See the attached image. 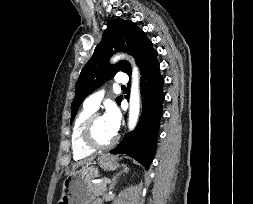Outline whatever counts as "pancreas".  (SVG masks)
<instances>
[{
	"label": "pancreas",
	"mask_w": 253,
	"mask_h": 204,
	"mask_svg": "<svg viewBox=\"0 0 253 204\" xmlns=\"http://www.w3.org/2000/svg\"><path fill=\"white\" fill-rule=\"evenodd\" d=\"M107 183H105V181L103 182H100V183H96V184H93L92 186V189H93V192L99 196V195H103L106 190H107Z\"/></svg>",
	"instance_id": "obj_1"
}]
</instances>
